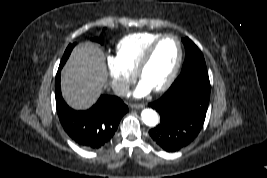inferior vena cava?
<instances>
[{"label": "inferior vena cava", "instance_id": "1", "mask_svg": "<svg viewBox=\"0 0 267 178\" xmlns=\"http://www.w3.org/2000/svg\"><path fill=\"white\" fill-rule=\"evenodd\" d=\"M112 90L116 95L125 96L129 94V85L122 82L112 84Z\"/></svg>", "mask_w": 267, "mask_h": 178}]
</instances>
